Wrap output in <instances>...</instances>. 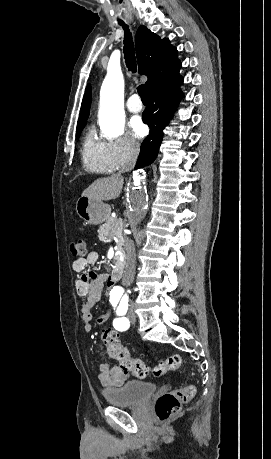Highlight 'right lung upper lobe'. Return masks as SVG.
Wrapping results in <instances>:
<instances>
[{
  "mask_svg": "<svg viewBox=\"0 0 271 459\" xmlns=\"http://www.w3.org/2000/svg\"><path fill=\"white\" fill-rule=\"evenodd\" d=\"M139 73L148 77L146 84L149 91L157 83L176 74L181 68L177 59V49L169 40L160 39L147 27L140 26L135 37ZM91 104V88L88 85L83 97L78 121L87 120Z\"/></svg>",
  "mask_w": 271,
  "mask_h": 459,
  "instance_id": "right-lung-upper-lobe-1",
  "label": "right lung upper lobe"
}]
</instances>
